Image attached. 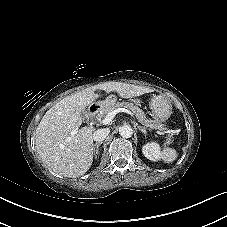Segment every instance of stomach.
Returning <instances> with one entry per match:
<instances>
[{
  "mask_svg": "<svg viewBox=\"0 0 227 227\" xmlns=\"http://www.w3.org/2000/svg\"><path fill=\"white\" fill-rule=\"evenodd\" d=\"M115 95H110L106 103H114L116 101ZM151 115L154 120L161 122L167 120L172 113V105L170 101L162 95L153 96L150 101Z\"/></svg>",
  "mask_w": 227,
  "mask_h": 227,
  "instance_id": "obj_1",
  "label": "stomach"
}]
</instances>
